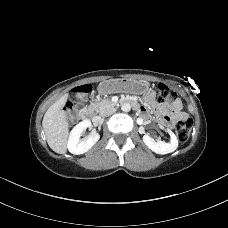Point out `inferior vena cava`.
<instances>
[{
    "label": "inferior vena cava",
    "mask_w": 228,
    "mask_h": 228,
    "mask_svg": "<svg viewBox=\"0 0 228 228\" xmlns=\"http://www.w3.org/2000/svg\"><path fill=\"white\" fill-rule=\"evenodd\" d=\"M115 112H116V109L114 107H108V108L104 109L100 113V115L106 117V116H110V115L114 114Z\"/></svg>",
    "instance_id": "602c4592"
}]
</instances>
